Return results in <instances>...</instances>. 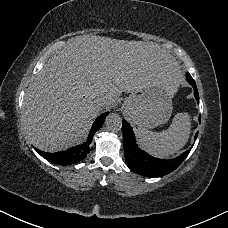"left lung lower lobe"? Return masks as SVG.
Instances as JSON below:
<instances>
[{"label": "left lung lower lobe", "instance_id": "obj_1", "mask_svg": "<svg viewBox=\"0 0 228 228\" xmlns=\"http://www.w3.org/2000/svg\"><path fill=\"white\" fill-rule=\"evenodd\" d=\"M186 79L194 89V96L199 103V94L195 81L189 73L186 74ZM124 155L127 165L136 173L147 177H160L174 171L185 160L192 147L174 159L162 160L157 159L146 152L140 150L135 143L132 128L125 120L122 123ZM198 132L195 135V140Z\"/></svg>", "mask_w": 228, "mask_h": 228}]
</instances>
